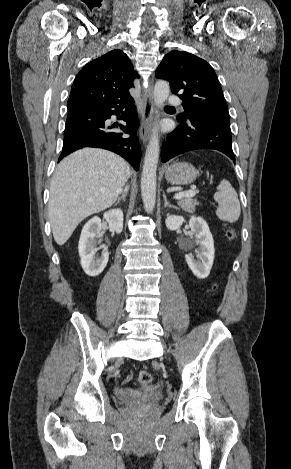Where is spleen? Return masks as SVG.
<instances>
[{"instance_id": "1", "label": "spleen", "mask_w": 291, "mask_h": 469, "mask_svg": "<svg viewBox=\"0 0 291 469\" xmlns=\"http://www.w3.org/2000/svg\"><path fill=\"white\" fill-rule=\"evenodd\" d=\"M217 190L214 194V200L218 203L217 217L230 223L236 222L241 213L237 192L225 179L220 182Z\"/></svg>"}]
</instances>
